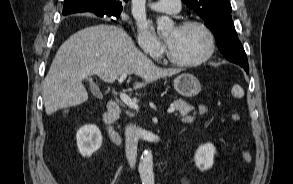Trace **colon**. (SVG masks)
<instances>
[{
    "label": "colon",
    "instance_id": "colon-1",
    "mask_svg": "<svg viewBox=\"0 0 293 184\" xmlns=\"http://www.w3.org/2000/svg\"><path fill=\"white\" fill-rule=\"evenodd\" d=\"M231 118L233 121L238 122L241 119V116L239 113L233 112L231 115ZM241 157L246 163H249L252 161V155L248 151H243L241 153Z\"/></svg>",
    "mask_w": 293,
    "mask_h": 184
}]
</instances>
